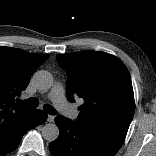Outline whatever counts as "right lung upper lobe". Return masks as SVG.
Instances as JSON below:
<instances>
[{
  "mask_svg": "<svg viewBox=\"0 0 156 156\" xmlns=\"http://www.w3.org/2000/svg\"><path fill=\"white\" fill-rule=\"evenodd\" d=\"M48 57V54H34L0 46V123L10 116L31 110L16 104L15 98L26 89L33 72Z\"/></svg>",
  "mask_w": 156,
  "mask_h": 156,
  "instance_id": "obj_1",
  "label": "right lung upper lobe"
}]
</instances>
